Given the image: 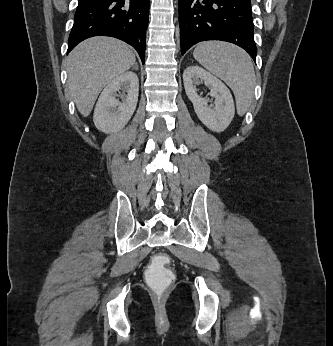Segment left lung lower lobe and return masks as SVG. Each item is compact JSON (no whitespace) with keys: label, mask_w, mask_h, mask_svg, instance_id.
Returning <instances> with one entry per match:
<instances>
[{"label":"left lung lower lobe","mask_w":333,"mask_h":346,"mask_svg":"<svg viewBox=\"0 0 333 346\" xmlns=\"http://www.w3.org/2000/svg\"><path fill=\"white\" fill-rule=\"evenodd\" d=\"M182 55L201 41L234 43L256 62L251 0H179Z\"/></svg>","instance_id":"1"}]
</instances>
